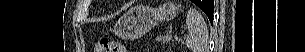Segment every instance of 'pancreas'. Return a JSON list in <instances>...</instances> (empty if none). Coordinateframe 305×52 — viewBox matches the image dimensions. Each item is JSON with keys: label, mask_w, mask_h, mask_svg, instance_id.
Wrapping results in <instances>:
<instances>
[{"label": "pancreas", "mask_w": 305, "mask_h": 52, "mask_svg": "<svg viewBox=\"0 0 305 52\" xmlns=\"http://www.w3.org/2000/svg\"><path fill=\"white\" fill-rule=\"evenodd\" d=\"M158 42L162 43H169L170 41H173L174 39L170 35L160 36L156 39Z\"/></svg>", "instance_id": "1"}]
</instances>
